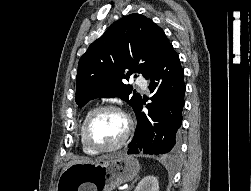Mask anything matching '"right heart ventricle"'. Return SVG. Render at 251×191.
<instances>
[{
    "label": "right heart ventricle",
    "instance_id": "obj_1",
    "mask_svg": "<svg viewBox=\"0 0 251 191\" xmlns=\"http://www.w3.org/2000/svg\"><path fill=\"white\" fill-rule=\"evenodd\" d=\"M90 111H87L83 117V119L85 118V116L89 113ZM83 121V120H82ZM81 128V127H80ZM78 145H79V148H80V151L87 155V156H95L96 154L90 152L89 150H87L83 144H82V141H81V137H80V131H79V137H78Z\"/></svg>",
    "mask_w": 251,
    "mask_h": 191
}]
</instances>
